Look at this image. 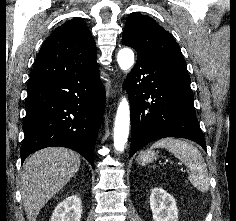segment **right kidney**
Returning <instances> with one entry per match:
<instances>
[{
  "label": "right kidney",
  "instance_id": "right-kidney-1",
  "mask_svg": "<svg viewBox=\"0 0 236 221\" xmlns=\"http://www.w3.org/2000/svg\"><path fill=\"white\" fill-rule=\"evenodd\" d=\"M81 214V199L76 195H72L56 206L51 221H80Z\"/></svg>",
  "mask_w": 236,
  "mask_h": 221
}]
</instances>
